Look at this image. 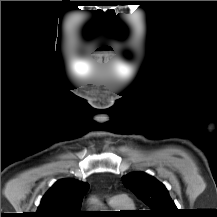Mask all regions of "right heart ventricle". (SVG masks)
<instances>
[{
    "instance_id": "e07e8e85",
    "label": "right heart ventricle",
    "mask_w": 217,
    "mask_h": 217,
    "mask_svg": "<svg viewBox=\"0 0 217 217\" xmlns=\"http://www.w3.org/2000/svg\"><path fill=\"white\" fill-rule=\"evenodd\" d=\"M111 208L116 211H123V210H131L134 209V204L131 200L127 199L124 203H110Z\"/></svg>"
}]
</instances>
